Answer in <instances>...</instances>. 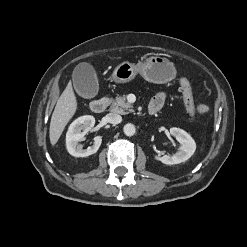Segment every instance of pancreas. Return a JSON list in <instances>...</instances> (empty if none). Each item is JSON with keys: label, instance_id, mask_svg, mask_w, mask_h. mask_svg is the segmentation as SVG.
I'll list each match as a JSON object with an SVG mask.
<instances>
[{"label": "pancreas", "instance_id": "cf45deb5", "mask_svg": "<svg viewBox=\"0 0 247 247\" xmlns=\"http://www.w3.org/2000/svg\"><path fill=\"white\" fill-rule=\"evenodd\" d=\"M132 105L126 101L125 95L116 97L113 100L110 110L119 114H127L133 112Z\"/></svg>", "mask_w": 247, "mask_h": 247}]
</instances>
